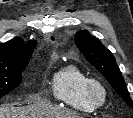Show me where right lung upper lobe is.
I'll return each instance as SVG.
<instances>
[{"mask_svg": "<svg viewBox=\"0 0 133 118\" xmlns=\"http://www.w3.org/2000/svg\"><path fill=\"white\" fill-rule=\"evenodd\" d=\"M35 41L25 43L21 38H14L6 43L0 44V67H14L29 62Z\"/></svg>", "mask_w": 133, "mask_h": 118, "instance_id": "obj_1", "label": "right lung upper lobe"}]
</instances>
